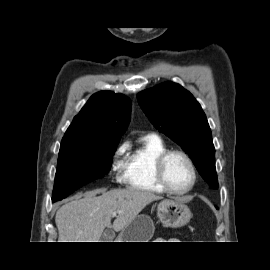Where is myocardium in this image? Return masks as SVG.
<instances>
[{
	"instance_id": "obj_1",
	"label": "myocardium",
	"mask_w": 270,
	"mask_h": 270,
	"mask_svg": "<svg viewBox=\"0 0 270 270\" xmlns=\"http://www.w3.org/2000/svg\"><path fill=\"white\" fill-rule=\"evenodd\" d=\"M172 155L182 156L187 161L192 171V181L190 185L184 190H176L172 188L167 181L166 174H165V165H166L167 160ZM155 176L160 186L167 193L174 194V195H184V194L189 193L195 187L197 178H198L197 168L195 166L193 159L187 152L181 149H167L166 151H164L158 156L155 162Z\"/></svg>"
}]
</instances>
